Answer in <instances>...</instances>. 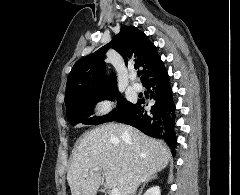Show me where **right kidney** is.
Instances as JSON below:
<instances>
[{
	"label": "right kidney",
	"instance_id": "right-kidney-1",
	"mask_svg": "<svg viewBox=\"0 0 240 195\" xmlns=\"http://www.w3.org/2000/svg\"><path fill=\"white\" fill-rule=\"evenodd\" d=\"M144 195H161L159 185H154V187H149V189L145 191Z\"/></svg>",
	"mask_w": 240,
	"mask_h": 195
}]
</instances>
